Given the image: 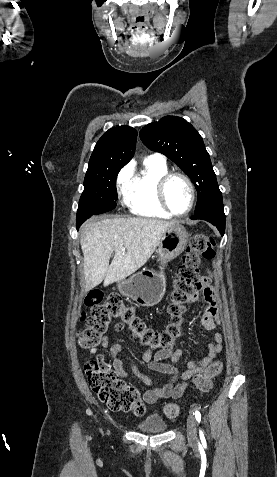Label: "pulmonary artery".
I'll return each mask as SVG.
<instances>
[{
  "instance_id": "1",
  "label": "pulmonary artery",
  "mask_w": 277,
  "mask_h": 477,
  "mask_svg": "<svg viewBox=\"0 0 277 477\" xmlns=\"http://www.w3.org/2000/svg\"><path fill=\"white\" fill-rule=\"evenodd\" d=\"M147 159L158 161V162H165L163 156L160 154H152Z\"/></svg>"
}]
</instances>
